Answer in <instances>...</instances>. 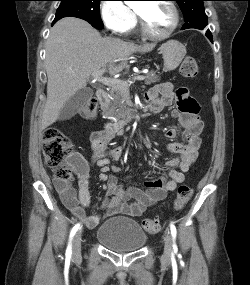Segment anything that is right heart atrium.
Masks as SVG:
<instances>
[{"mask_svg": "<svg viewBox=\"0 0 250 285\" xmlns=\"http://www.w3.org/2000/svg\"><path fill=\"white\" fill-rule=\"evenodd\" d=\"M100 14L104 25L119 34L129 32L136 22L135 14L122 0L103 1Z\"/></svg>", "mask_w": 250, "mask_h": 285, "instance_id": "1", "label": "right heart atrium"}]
</instances>
